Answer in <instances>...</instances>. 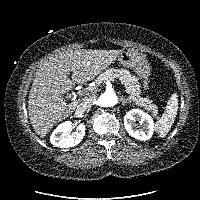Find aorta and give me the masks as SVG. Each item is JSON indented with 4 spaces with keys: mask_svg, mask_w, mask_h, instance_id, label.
I'll return each instance as SVG.
<instances>
[{
    "mask_svg": "<svg viewBox=\"0 0 200 200\" xmlns=\"http://www.w3.org/2000/svg\"><path fill=\"white\" fill-rule=\"evenodd\" d=\"M118 103V97L113 91H107L99 97V104L103 107H113Z\"/></svg>",
    "mask_w": 200,
    "mask_h": 200,
    "instance_id": "762f6f07",
    "label": "aorta"
}]
</instances>
